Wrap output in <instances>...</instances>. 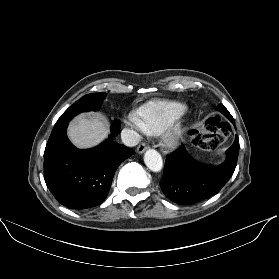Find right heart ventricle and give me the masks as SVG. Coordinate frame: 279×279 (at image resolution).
I'll list each match as a JSON object with an SVG mask.
<instances>
[{"label": "right heart ventricle", "mask_w": 279, "mask_h": 279, "mask_svg": "<svg viewBox=\"0 0 279 279\" xmlns=\"http://www.w3.org/2000/svg\"><path fill=\"white\" fill-rule=\"evenodd\" d=\"M188 107L177 101L149 102L137 111L141 129L149 135H161L187 111Z\"/></svg>", "instance_id": "obj_1"}]
</instances>
